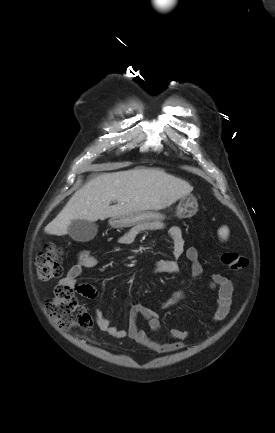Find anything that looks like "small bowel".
I'll use <instances>...</instances> for the list:
<instances>
[{
    "instance_id": "1",
    "label": "small bowel",
    "mask_w": 275,
    "mask_h": 433,
    "mask_svg": "<svg viewBox=\"0 0 275 433\" xmlns=\"http://www.w3.org/2000/svg\"><path fill=\"white\" fill-rule=\"evenodd\" d=\"M139 229H131L123 234L119 242L127 245L131 244ZM169 236L173 243V259L158 261L150 270L153 275L157 274H177L179 265L177 259L186 256L191 262L190 275L192 278H198L203 273V267L198 259V251L195 247L185 249L183 233L180 227L173 226L169 229ZM98 258L89 251H82L78 255V261L73 265L67 275L60 281V286H66L79 295L95 299L98 296L97 289L90 283L80 281L83 269L94 268L98 265ZM211 288L216 291V307L212 316L213 321L223 320L230 312L232 306L233 284L221 273H213L211 276ZM183 294L179 293V297ZM139 317L146 320L148 327L154 333L160 331L161 325L158 315L146 305L136 302L129 311V324L127 329H119L110 324V321L102 314L101 311H95L96 323L100 330L119 339L129 338L142 346L149 348L158 353H169L182 349L185 346V340L189 333L179 329H171V341L165 342L151 337L145 330L140 329L137 324Z\"/></svg>"
}]
</instances>
